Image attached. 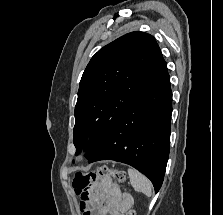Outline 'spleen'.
Returning a JSON list of instances; mask_svg holds the SVG:
<instances>
[{"label":"spleen","instance_id":"1","mask_svg":"<svg viewBox=\"0 0 223 215\" xmlns=\"http://www.w3.org/2000/svg\"><path fill=\"white\" fill-rule=\"evenodd\" d=\"M128 173L130 175L131 185H133L135 191H143L146 195H151V183L145 175H142L137 169H131V167H129Z\"/></svg>","mask_w":223,"mask_h":215}]
</instances>
